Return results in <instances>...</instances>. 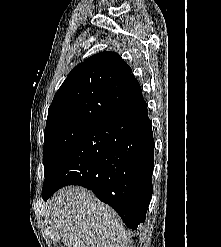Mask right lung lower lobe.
I'll list each match as a JSON object with an SVG mask.
<instances>
[{"mask_svg":"<svg viewBox=\"0 0 221 247\" xmlns=\"http://www.w3.org/2000/svg\"><path fill=\"white\" fill-rule=\"evenodd\" d=\"M153 165L152 123L143 101L78 137L43 183L42 197L46 201L66 185L83 186L136 230L152 197Z\"/></svg>","mask_w":221,"mask_h":247,"instance_id":"obj_1","label":"right lung lower lobe"}]
</instances>
